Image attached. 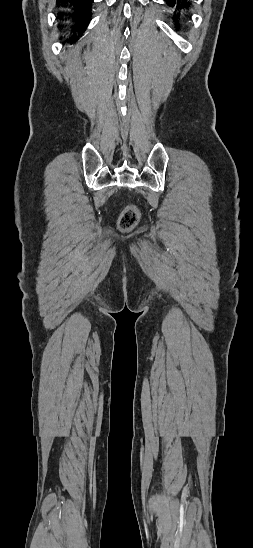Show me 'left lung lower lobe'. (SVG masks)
I'll return each mask as SVG.
<instances>
[{
  "instance_id": "left-lung-lower-lobe-1",
  "label": "left lung lower lobe",
  "mask_w": 253,
  "mask_h": 548,
  "mask_svg": "<svg viewBox=\"0 0 253 548\" xmlns=\"http://www.w3.org/2000/svg\"><path fill=\"white\" fill-rule=\"evenodd\" d=\"M165 1L169 7L174 8L173 19L175 20L177 27H179L178 20L180 19L182 14L189 11V9L192 7V1L191 0H165Z\"/></svg>"
}]
</instances>
